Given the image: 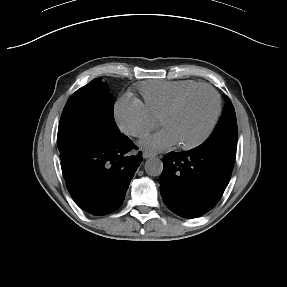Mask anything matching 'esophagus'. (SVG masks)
<instances>
[{
  "label": "esophagus",
  "instance_id": "obj_1",
  "mask_svg": "<svg viewBox=\"0 0 287 287\" xmlns=\"http://www.w3.org/2000/svg\"><path fill=\"white\" fill-rule=\"evenodd\" d=\"M154 156H156V155L153 154V153H149V152H144L143 153V158L144 159H148V158H151V157H154Z\"/></svg>",
  "mask_w": 287,
  "mask_h": 287
}]
</instances>
